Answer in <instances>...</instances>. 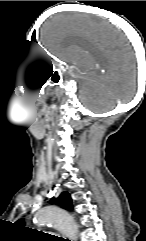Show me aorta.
I'll return each instance as SVG.
<instances>
[{"label": "aorta", "instance_id": "1", "mask_svg": "<svg viewBox=\"0 0 146 241\" xmlns=\"http://www.w3.org/2000/svg\"><path fill=\"white\" fill-rule=\"evenodd\" d=\"M35 222L38 225L51 224L59 229L71 241L78 239V226L72 216L62 208L46 206L40 209L35 215Z\"/></svg>", "mask_w": 146, "mask_h": 241}]
</instances>
